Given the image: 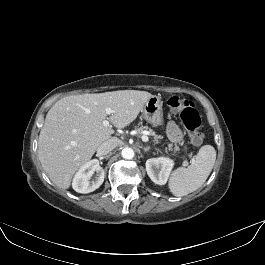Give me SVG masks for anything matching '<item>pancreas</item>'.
<instances>
[{
    "label": "pancreas",
    "instance_id": "1",
    "mask_svg": "<svg viewBox=\"0 0 265 265\" xmlns=\"http://www.w3.org/2000/svg\"><path fill=\"white\" fill-rule=\"evenodd\" d=\"M138 130L139 131L146 130L149 133V135L152 137V141L154 143H158L159 139L162 138L161 136L156 135L155 132L152 129L148 128V126H141V127L138 128ZM168 149L171 150V151H174V152L180 150V148L178 146L172 147L171 145H169Z\"/></svg>",
    "mask_w": 265,
    "mask_h": 265
}]
</instances>
